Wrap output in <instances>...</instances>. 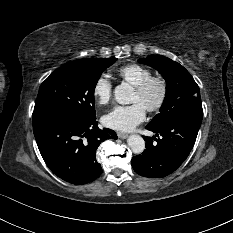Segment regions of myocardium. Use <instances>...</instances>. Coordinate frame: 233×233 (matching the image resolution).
Wrapping results in <instances>:
<instances>
[{"label": "myocardium", "instance_id": "1", "mask_svg": "<svg viewBox=\"0 0 233 233\" xmlns=\"http://www.w3.org/2000/svg\"><path fill=\"white\" fill-rule=\"evenodd\" d=\"M154 85H157L159 88V97L154 104L145 108L148 112L159 111L165 104L168 96V83L166 79L163 76H151L135 87V92L139 95H145Z\"/></svg>", "mask_w": 233, "mask_h": 233}]
</instances>
